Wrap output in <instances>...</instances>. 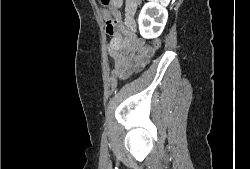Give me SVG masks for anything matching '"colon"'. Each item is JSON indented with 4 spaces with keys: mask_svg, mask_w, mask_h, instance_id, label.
<instances>
[{
    "mask_svg": "<svg viewBox=\"0 0 250 169\" xmlns=\"http://www.w3.org/2000/svg\"><path fill=\"white\" fill-rule=\"evenodd\" d=\"M102 4L104 6H120V1L119 0H102ZM131 4H135V6H140V0H131ZM123 30L120 22L118 20H114V21H110L107 23V31L109 33H112V32H116V33H119ZM161 46V42H160V39L158 37H156L153 41V45H152V49L153 51H157ZM148 55H151V54H148ZM142 68V67H141ZM139 68L138 69V73L140 72L139 70L141 69ZM142 71L144 70L143 68L141 69Z\"/></svg>",
    "mask_w": 250,
    "mask_h": 169,
    "instance_id": "5ec220e1",
    "label": "colon"
}]
</instances>
